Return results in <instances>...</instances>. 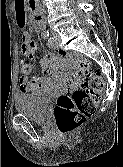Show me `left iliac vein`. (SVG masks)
<instances>
[{
	"instance_id": "4c4485c4",
	"label": "left iliac vein",
	"mask_w": 123,
	"mask_h": 167,
	"mask_svg": "<svg viewBox=\"0 0 123 167\" xmlns=\"http://www.w3.org/2000/svg\"><path fill=\"white\" fill-rule=\"evenodd\" d=\"M52 36H53V46L56 47L60 42V36L57 32H52Z\"/></svg>"
}]
</instances>
